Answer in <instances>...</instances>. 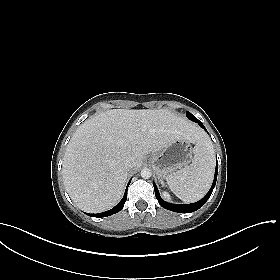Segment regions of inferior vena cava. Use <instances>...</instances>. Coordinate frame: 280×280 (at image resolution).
<instances>
[{"mask_svg": "<svg viewBox=\"0 0 280 280\" xmlns=\"http://www.w3.org/2000/svg\"><path fill=\"white\" fill-rule=\"evenodd\" d=\"M134 162H135V158L133 156L129 155L124 158L123 163H124V166L126 169H130L133 167Z\"/></svg>", "mask_w": 280, "mask_h": 280, "instance_id": "1", "label": "inferior vena cava"}]
</instances>
